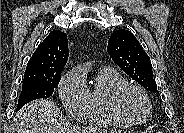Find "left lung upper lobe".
I'll return each instance as SVG.
<instances>
[{
    "mask_svg": "<svg viewBox=\"0 0 184 133\" xmlns=\"http://www.w3.org/2000/svg\"><path fill=\"white\" fill-rule=\"evenodd\" d=\"M108 53L112 60L132 79L151 92H158L152 64L136 37L120 29L111 34Z\"/></svg>",
    "mask_w": 184,
    "mask_h": 133,
    "instance_id": "1",
    "label": "left lung upper lobe"
}]
</instances>
